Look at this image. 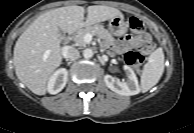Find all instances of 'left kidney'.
I'll list each match as a JSON object with an SVG mask.
<instances>
[{"instance_id":"5707ae66","label":"left kidney","mask_w":194,"mask_h":133,"mask_svg":"<svg viewBox=\"0 0 194 133\" xmlns=\"http://www.w3.org/2000/svg\"><path fill=\"white\" fill-rule=\"evenodd\" d=\"M124 71L127 76L126 81H120L111 75L104 76L106 86L115 93L123 96H132L140 92L137 77L129 66H124Z\"/></svg>"}]
</instances>
